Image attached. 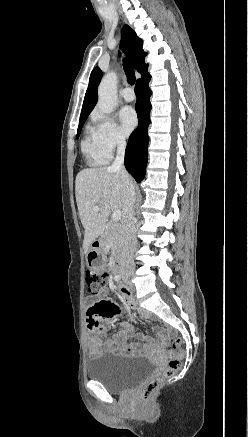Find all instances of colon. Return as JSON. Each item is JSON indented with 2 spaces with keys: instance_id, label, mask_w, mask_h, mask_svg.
<instances>
[{
  "instance_id": "5ec220e1",
  "label": "colon",
  "mask_w": 248,
  "mask_h": 437,
  "mask_svg": "<svg viewBox=\"0 0 248 437\" xmlns=\"http://www.w3.org/2000/svg\"><path fill=\"white\" fill-rule=\"evenodd\" d=\"M109 273L105 272H87L86 283L90 294H98L107 285ZM182 341L180 338H174L172 341V351L170 358L163 372L146 382L139 391V396L143 400L149 399L153 393L169 378H171L181 367V349Z\"/></svg>"
}]
</instances>
